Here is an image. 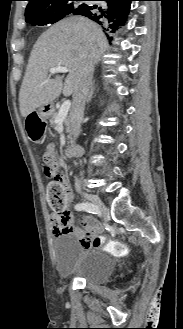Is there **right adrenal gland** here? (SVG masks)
I'll return each instance as SVG.
<instances>
[{
    "mask_svg": "<svg viewBox=\"0 0 183 329\" xmlns=\"http://www.w3.org/2000/svg\"><path fill=\"white\" fill-rule=\"evenodd\" d=\"M94 90H95V86H94V83H93V86L91 87L90 91H89V94H88V97H87V102L89 103L92 99V96H93V93H94Z\"/></svg>",
    "mask_w": 183,
    "mask_h": 329,
    "instance_id": "1",
    "label": "right adrenal gland"
}]
</instances>
